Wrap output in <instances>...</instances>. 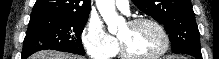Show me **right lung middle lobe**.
Returning a JSON list of instances; mask_svg holds the SVG:
<instances>
[{"instance_id":"obj_1","label":"right lung middle lobe","mask_w":219,"mask_h":59,"mask_svg":"<svg viewBox=\"0 0 219 59\" xmlns=\"http://www.w3.org/2000/svg\"><path fill=\"white\" fill-rule=\"evenodd\" d=\"M88 16L31 14L21 59L45 49L84 55L80 35Z\"/></svg>"}]
</instances>
